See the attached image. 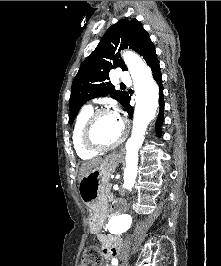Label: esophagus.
<instances>
[{
  "mask_svg": "<svg viewBox=\"0 0 221 266\" xmlns=\"http://www.w3.org/2000/svg\"><path fill=\"white\" fill-rule=\"evenodd\" d=\"M124 152V150L123 149H121L120 151H119V153H123Z\"/></svg>",
  "mask_w": 221,
  "mask_h": 266,
  "instance_id": "esophagus-1",
  "label": "esophagus"
}]
</instances>
